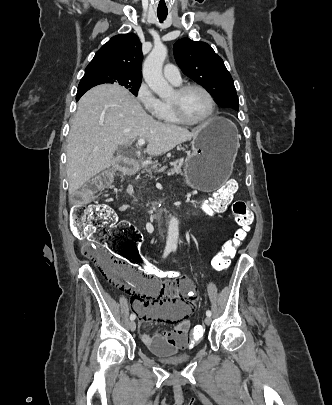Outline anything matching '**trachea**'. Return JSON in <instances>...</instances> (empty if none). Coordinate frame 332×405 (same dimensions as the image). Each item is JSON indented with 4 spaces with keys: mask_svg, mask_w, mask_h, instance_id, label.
<instances>
[{
    "mask_svg": "<svg viewBox=\"0 0 332 405\" xmlns=\"http://www.w3.org/2000/svg\"><path fill=\"white\" fill-rule=\"evenodd\" d=\"M167 15H168L167 10H164V11L158 10L157 11V16H158V19L160 22H163L166 19Z\"/></svg>",
    "mask_w": 332,
    "mask_h": 405,
    "instance_id": "1",
    "label": "trachea"
}]
</instances>
